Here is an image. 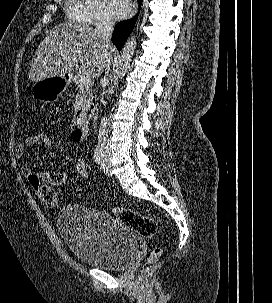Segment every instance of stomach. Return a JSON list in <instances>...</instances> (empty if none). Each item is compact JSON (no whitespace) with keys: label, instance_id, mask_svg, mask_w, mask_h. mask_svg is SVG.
Instances as JSON below:
<instances>
[{"label":"stomach","instance_id":"stomach-1","mask_svg":"<svg viewBox=\"0 0 272 303\" xmlns=\"http://www.w3.org/2000/svg\"><path fill=\"white\" fill-rule=\"evenodd\" d=\"M65 77H51L37 81L32 86V95L41 101H55L67 88Z\"/></svg>","mask_w":272,"mask_h":303}]
</instances>
